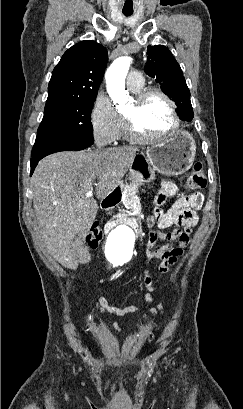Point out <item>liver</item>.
<instances>
[{
    "label": "liver",
    "instance_id": "1",
    "mask_svg": "<svg viewBox=\"0 0 243 409\" xmlns=\"http://www.w3.org/2000/svg\"><path fill=\"white\" fill-rule=\"evenodd\" d=\"M138 147L102 151L58 152L42 159L31 179L33 207L43 242L63 266L76 269L85 253L83 241L98 211L86 198L95 189L103 199L131 167Z\"/></svg>",
    "mask_w": 243,
    "mask_h": 409
}]
</instances>
